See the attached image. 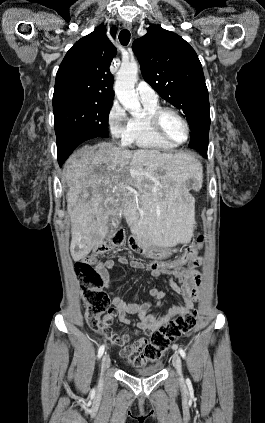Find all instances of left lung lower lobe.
Instances as JSON below:
<instances>
[{
  "label": "left lung lower lobe",
  "mask_w": 265,
  "mask_h": 423,
  "mask_svg": "<svg viewBox=\"0 0 265 423\" xmlns=\"http://www.w3.org/2000/svg\"><path fill=\"white\" fill-rule=\"evenodd\" d=\"M207 147H208V144H207V145H205V153L207 152Z\"/></svg>",
  "instance_id": "left-lung-lower-lobe-1"
}]
</instances>
